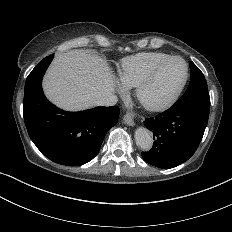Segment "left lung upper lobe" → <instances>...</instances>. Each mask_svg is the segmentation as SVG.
Segmentation results:
<instances>
[{
    "label": "left lung upper lobe",
    "instance_id": "left-lung-upper-lobe-1",
    "mask_svg": "<svg viewBox=\"0 0 232 232\" xmlns=\"http://www.w3.org/2000/svg\"><path fill=\"white\" fill-rule=\"evenodd\" d=\"M190 65V83L184 95L172 106L190 109L205 117L209 116L210 97L206 79L200 69L192 62Z\"/></svg>",
    "mask_w": 232,
    "mask_h": 232
}]
</instances>
